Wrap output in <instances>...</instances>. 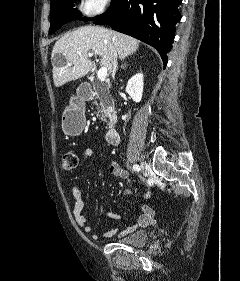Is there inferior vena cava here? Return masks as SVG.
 <instances>
[{
    "label": "inferior vena cava",
    "instance_id": "1",
    "mask_svg": "<svg viewBox=\"0 0 240 281\" xmlns=\"http://www.w3.org/2000/svg\"><path fill=\"white\" fill-rule=\"evenodd\" d=\"M116 68H117V60L115 58V55L113 57V69H112V77H115V73H116Z\"/></svg>",
    "mask_w": 240,
    "mask_h": 281
}]
</instances>
